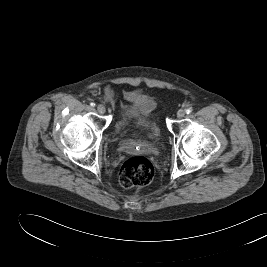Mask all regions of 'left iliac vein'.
Here are the masks:
<instances>
[{
    "label": "left iliac vein",
    "instance_id": "obj_1",
    "mask_svg": "<svg viewBox=\"0 0 267 267\" xmlns=\"http://www.w3.org/2000/svg\"><path fill=\"white\" fill-rule=\"evenodd\" d=\"M184 116H185V110L180 109V110L177 112V117H178V118H183Z\"/></svg>",
    "mask_w": 267,
    "mask_h": 267
}]
</instances>
